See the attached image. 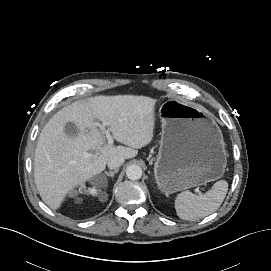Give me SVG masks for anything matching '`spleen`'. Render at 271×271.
Segmentation results:
<instances>
[{
	"instance_id": "obj_1",
	"label": "spleen",
	"mask_w": 271,
	"mask_h": 271,
	"mask_svg": "<svg viewBox=\"0 0 271 271\" xmlns=\"http://www.w3.org/2000/svg\"><path fill=\"white\" fill-rule=\"evenodd\" d=\"M228 191V183L217 181L205 194L195 195L183 191L175 199V210L180 219L195 221L215 212L222 204Z\"/></svg>"
}]
</instances>
